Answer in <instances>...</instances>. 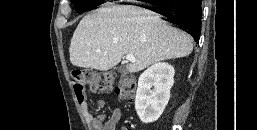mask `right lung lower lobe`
<instances>
[{
    "mask_svg": "<svg viewBox=\"0 0 257 130\" xmlns=\"http://www.w3.org/2000/svg\"><path fill=\"white\" fill-rule=\"evenodd\" d=\"M201 2L202 0H168L160 4L164 20L187 30L195 41H199L201 32Z\"/></svg>",
    "mask_w": 257,
    "mask_h": 130,
    "instance_id": "1",
    "label": "right lung lower lobe"
}]
</instances>
